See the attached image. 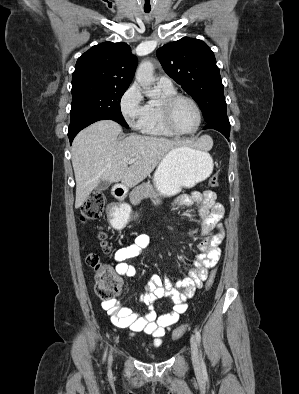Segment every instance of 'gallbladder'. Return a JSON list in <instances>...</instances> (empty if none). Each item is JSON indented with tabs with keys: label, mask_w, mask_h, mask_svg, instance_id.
<instances>
[{
	"label": "gallbladder",
	"mask_w": 299,
	"mask_h": 394,
	"mask_svg": "<svg viewBox=\"0 0 299 394\" xmlns=\"http://www.w3.org/2000/svg\"><path fill=\"white\" fill-rule=\"evenodd\" d=\"M111 182L108 180H101L99 184L96 186L95 190L97 192L106 190L110 186Z\"/></svg>",
	"instance_id": "1"
}]
</instances>
